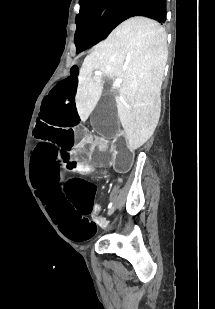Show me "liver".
Segmentation results:
<instances>
[{
	"label": "liver",
	"mask_w": 215,
	"mask_h": 309,
	"mask_svg": "<svg viewBox=\"0 0 215 309\" xmlns=\"http://www.w3.org/2000/svg\"><path fill=\"white\" fill-rule=\"evenodd\" d=\"M166 36L157 20L132 16L95 44L80 68L75 100L83 122L102 94L100 76H95L94 70L109 78H122L115 98L131 152L150 138L159 120L155 98L160 94L167 62Z\"/></svg>",
	"instance_id": "6515ba94"
}]
</instances>
